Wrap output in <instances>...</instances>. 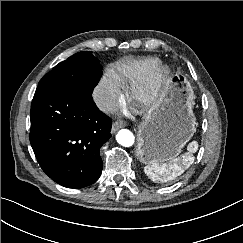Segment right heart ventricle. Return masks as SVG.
<instances>
[{"mask_svg":"<svg viewBox=\"0 0 243 243\" xmlns=\"http://www.w3.org/2000/svg\"><path fill=\"white\" fill-rule=\"evenodd\" d=\"M158 62L152 56L127 58L111 64L107 74L121 89H129L142 80Z\"/></svg>","mask_w":243,"mask_h":243,"instance_id":"e07e8e85","label":"right heart ventricle"}]
</instances>
